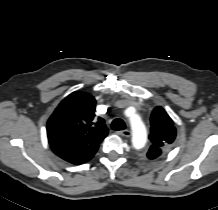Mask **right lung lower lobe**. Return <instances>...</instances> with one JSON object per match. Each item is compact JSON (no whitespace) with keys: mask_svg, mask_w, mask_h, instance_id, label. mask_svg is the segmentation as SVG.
I'll return each mask as SVG.
<instances>
[{"mask_svg":"<svg viewBox=\"0 0 218 210\" xmlns=\"http://www.w3.org/2000/svg\"><path fill=\"white\" fill-rule=\"evenodd\" d=\"M56 155L72 164H83L89 161L96 152H79L64 147L51 146Z\"/></svg>","mask_w":218,"mask_h":210,"instance_id":"obj_1","label":"right lung lower lobe"}]
</instances>
